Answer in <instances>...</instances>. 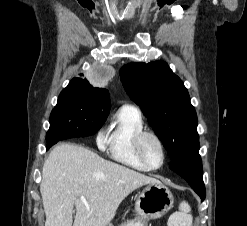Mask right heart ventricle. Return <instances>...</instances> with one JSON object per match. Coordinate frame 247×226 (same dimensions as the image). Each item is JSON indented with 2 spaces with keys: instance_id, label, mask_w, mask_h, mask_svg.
<instances>
[{
  "instance_id": "obj_1",
  "label": "right heart ventricle",
  "mask_w": 247,
  "mask_h": 226,
  "mask_svg": "<svg viewBox=\"0 0 247 226\" xmlns=\"http://www.w3.org/2000/svg\"><path fill=\"white\" fill-rule=\"evenodd\" d=\"M142 130L144 122L140 111L133 106H123L108 129L106 145L109 156L130 168L150 170L138 159L134 149L135 136Z\"/></svg>"
}]
</instances>
